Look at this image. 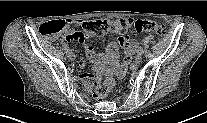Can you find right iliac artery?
<instances>
[{
  "label": "right iliac artery",
  "mask_w": 207,
  "mask_h": 123,
  "mask_svg": "<svg viewBox=\"0 0 207 123\" xmlns=\"http://www.w3.org/2000/svg\"><path fill=\"white\" fill-rule=\"evenodd\" d=\"M70 52H71V50H70V49H68V50H67V52H66V53H67V55H68Z\"/></svg>",
  "instance_id": "82829eb1"
}]
</instances>
